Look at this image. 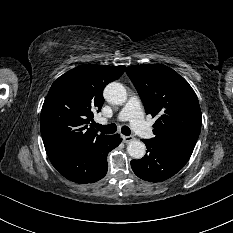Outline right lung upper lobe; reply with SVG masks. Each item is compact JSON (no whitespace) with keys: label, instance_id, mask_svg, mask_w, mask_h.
I'll return each instance as SVG.
<instances>
[{"label":"right lung upper lobe","instance_id":"obj_1","mask_svg":"<svg viewBox=\"0 0 233 233\" xmlns=\"http://www.w3.org/2000/svg\"><path fill=\"white\" fill-rule=\"evenodd\" d=\"M124 69L123 65H81L52 84L41 111V134L49 158L107 136L89 124L104 103V87L121 77Z\"/></svg>","mask_w":233,"mask_h":233}]
</instances>
